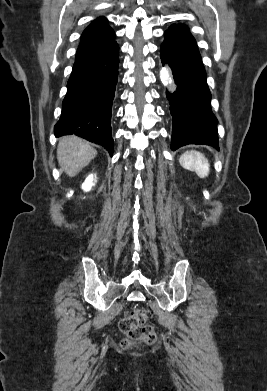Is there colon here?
Masks as SVG:
<instances>
[{
    "instance_id": "colon-1",
    "label": "colon",
    "mask_w": 267,
    "mask_h": 391,
    "mask_svg": "<svg viewBox=\"0 0 267 391\" xmlns=\"http://www.w3.org/2000/svg\"><path fill=\"white\" fill-rule=\"evenodd\" d=\"M149 316V312L143 309H133L120 320L119 328L126 336L121 343L123 348L132 343L152 344L155 342L156 333L153 327L145 324Z\"/></svg>"
}]
</instances>
